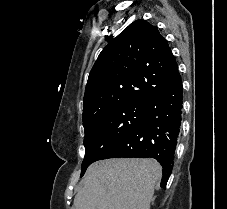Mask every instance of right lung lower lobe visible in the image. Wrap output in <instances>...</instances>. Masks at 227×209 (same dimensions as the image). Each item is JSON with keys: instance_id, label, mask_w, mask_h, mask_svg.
Instances as JSON below:
<instances>
[{"instance_id": "right-lung-lower-lobe-1", "label": "right lung lower lobe", "mask_w": 227, "mask_h": 209, "mask_svg": "<svg viewBox=\"0 0 227 209\" xmlns=\"http://www.w3.org/2000/svg\"><path fill=\"white\" fill-rule=\"evenodd\" d=\"M170 84L149 97L141 120L102 159L120 157L155 158L163 167L160 186L166 188L173 168L182 113V81L178 65L163 66Z\"/></svg>"}]
</instances>
